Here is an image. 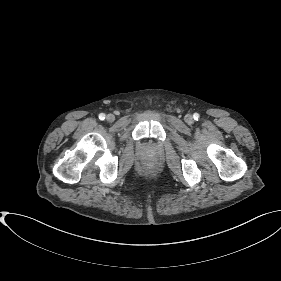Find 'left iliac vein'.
<instances>
[{"label": "left iliac vein", "mask_w": 281, "mask_h": 281, "mask_svg": "<svg viewBox=\"0 0 281 281\" xmlns=\"http://www.w3.org/2000/svg\"><path fill=\"white\" fill-rule=\"evenodd\" d=\"M185 121H186L187 123L191 124V123L193 122V117H192V115L187 114V115L185 116Z\"/></svg>", "instance_id": "left-iliac-vein-1"}]
</instances>
